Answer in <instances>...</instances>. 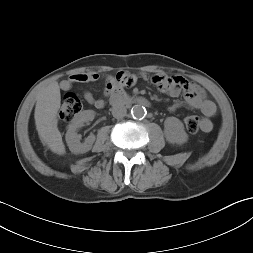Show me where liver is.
I'll return each instance as SVG.
<instances>
[{
  "label": "liver",
  "instance_id": "1",
  "mask_svg": "<svg viewBox=\"0 0 253 253\" xmlns=\"http://www.w3.org/2000/svg\"><path fill=\"white\" fill-rule=\"evenodd\" d=\"M60 105V88L58 82L53 81L38 92L34 118L42 143L52 152L63 155L65 154V145L57 126Z\"/></svg>",
  "mask_w": 253,
  "mask_h": 253
}]
</instances>
